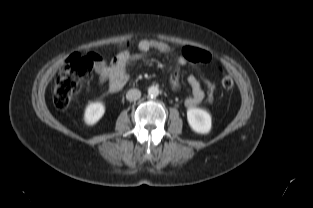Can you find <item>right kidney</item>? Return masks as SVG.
<instances>
[{
    "label": "right kidney",
    "mask_w": 313,
    "mask_h": 208,
    "mask_svg": "<svg viewBox=\"0 0 313 208\" xmlns=\"http://www.w3.org/2000/svg\"><path fill=\"white\" fill-rule=\"evenodd\" d=\"M105 107L101 102H93L90 103L86 109L84 114V121L87 125L96 124L104 115Z\"/></svg>",
    "instance_id": "right-kidney-1"
}]
</instances>
